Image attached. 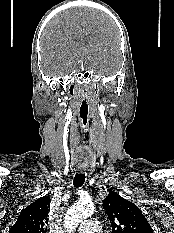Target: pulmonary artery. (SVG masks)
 Returning <instances> with one entry per match:
<instances>
[{"mask_svg":"<svg viewBox=\"0 0 174 233\" xmlns=\"http://www.w3.org/2000/svg\"><path fill=\"white\" fill-rule=\"evenodd\" d=\"M79 233H99L100 232V223L96 219H88L83 221L79 228Z\"/></svg>","mask_w":174,"mask_h":233,"instance_id":"e3ab8cb5","label":"pulmonary artery"}]
</instances>
